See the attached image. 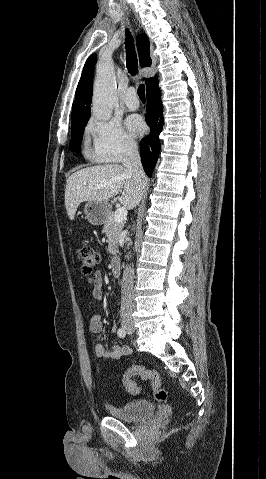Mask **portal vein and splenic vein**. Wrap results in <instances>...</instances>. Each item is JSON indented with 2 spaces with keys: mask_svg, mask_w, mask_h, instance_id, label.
Instances as JSON below:
<instances>
[{
  "mask_svg": "<svg viewBox=\"0 0 266 479\" xmlns=\"http://www.w3.org/2000/svg\"><path fill=\"white\" fill-rule=\"evenodd\" d=\"M127 208L126 207H121V208H118L114 214V221L115 222H123V220L126 218L127 216Z\"/></svg>",
  "mask_w": 266,
  "mask_h": 479,
  "instance_id": "portal-vein-and-splenic-vein-1",
  "label": "portal vein and splenic vein"
}]
</instances>
